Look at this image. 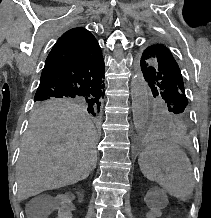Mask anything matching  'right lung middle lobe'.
<instances>
[{
    "instance_id": "right-lung-middle-lobe-1",
    "label": "right lung middle lobe",
    "mask_w": 211,
    "mask_h": 218,
    "mask_svg": "<svg viewBox=\"0 0 211 218\" xmlns=\"http://www.w3.org/2000/svg\"><path fill=\"white\" fill-rule=\"evenodd\" d=\"M34 102L36 109L80 105L86 108L88 113H91L93 116L99 115L101 105V100L94 98L45 97L35 98Z\"/></svg>"
}]
</instances>
